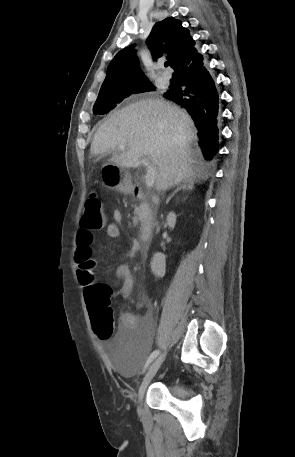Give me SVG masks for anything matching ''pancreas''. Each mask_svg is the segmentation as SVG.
<instances>
[{
    "instance_id": "pancreas-1",
    "label": "pancreas",
    "mask_w": 295,
    "mask_h": 457,
    "mask_svg": "<svg viewBox=\"0 0 295 457\" xmlns=\"http://www.w3.org/2000/svg\"><path fill=\"white\" fill-rule=\"evenodd\" d=\"M146 219L145 210L142 205L135 207L133 223L137 225L139 221L143 222Z\"/></svg>"
}]
</instances>
